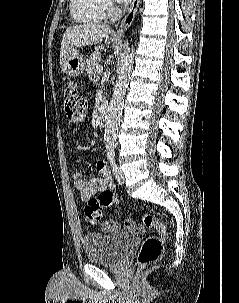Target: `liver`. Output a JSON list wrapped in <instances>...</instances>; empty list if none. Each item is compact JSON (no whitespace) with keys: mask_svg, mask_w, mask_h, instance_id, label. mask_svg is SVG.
<instances>
[{"mask_svg":"<svg viewBox=\"0 0 239 303\" xmlns=\"http://www.w3.org/2000/svg\"><path fill=\"white\" fill-rule=\"evenodd\" d=\"M110 33V27L100 23H87L67 28L61 42L60 62L62 63L68 52L77 47L98 44Z\"/></svg>","mask_w":239,"mask_h":303,"instance_id":"obj_1","label":"liver"}]
</instances>
